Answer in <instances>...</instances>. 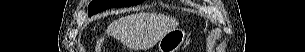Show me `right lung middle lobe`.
<instances>
[{"instance_id":"right-lung-middle-lobe-1","label":"right lung middle lobe","mask_w":305,"mask_h":52,"mask_svg":"<svg viewBox=\"0 0 305 52\" xmlns=\"http://www.w3.org/2000/svg\"><path fill=\"white\" fill-rule=\"evenodd\" d=\"M144 0H94L88 6L89 16L97 14L103 10L112 7H127L131 5H136Z\"/></svg>"}]
</instances>
